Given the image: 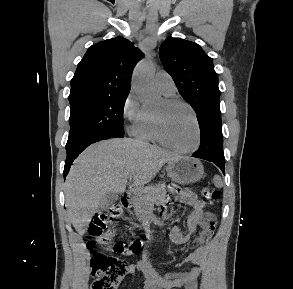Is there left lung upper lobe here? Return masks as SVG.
<instances>
[{
	"instance_id": "5c2ea615",
	"label": "left lung upper lobe",
	"mask_w": 293,
	"mask_h": 289,
	"mask_svg": "<svg viewBox=\"0 0 293 289\" xmlns=\"http://www.w3.org/2000/svg\"><path fill=\"white\" fill-rule=\"evenodd\" d=\"M159 56L179 93L196 112L199 125L221 123L218 75L203 49L194 42L169 37L161 44Z\"/></svg>"
}]
</instances>
